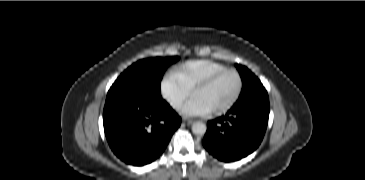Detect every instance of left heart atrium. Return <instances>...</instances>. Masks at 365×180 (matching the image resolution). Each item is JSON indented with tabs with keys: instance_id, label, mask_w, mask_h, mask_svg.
I'll return each instance as SVG.
<instances>
[{
	"instance_id": "obj_1",
	"label": "left heart atrium",
	"mask_w": 365,
	"mask_h": 180,
	"mask_svg": "<svg viewBox=\"0 0 365 180\" xmlns=\"http://www.w3.org/2000/svg\"><path fill=\"white\" fill-rule=\"evenodd\" d=\"M209 110L201 104L197 99H192L183 109L186 115H204Z\"/></svg>"
}]
</instances>
